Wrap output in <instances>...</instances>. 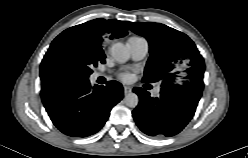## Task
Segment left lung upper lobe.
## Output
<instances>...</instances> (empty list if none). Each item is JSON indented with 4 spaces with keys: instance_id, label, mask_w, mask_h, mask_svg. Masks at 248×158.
Instances as JSON below:
<instances>
[{
    "instance_id": "5c2ea615",
    "label": "left lung upper lobe",
    "mask_w": 248,
    "mask_h": 158,
    "mask_svg": "<svg viewBox=\"0 0 248 158\" xmlns=\"http://www.w3.org/2000/svg\"><path fill=\"white\" fill-rule=\"evenodd\" d=\"M150 45L143 82L162 81L161 90L189 88L202 91L205 63L194 42L184 33L160 23L126 22Z\"/></svg>"
}]
</instances>
